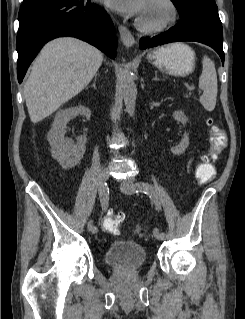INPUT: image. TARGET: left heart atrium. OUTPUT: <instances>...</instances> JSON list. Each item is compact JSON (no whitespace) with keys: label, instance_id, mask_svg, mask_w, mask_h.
Listing matches in <instances>:
<instances>
[{"label":"left heart atrium","instance_id":"1","mask_svg":"<svg viewBox=\"0 0 245 319\" xmlns=\"http://www.w3.org/2000/svg\"><path fill=\"white\" fill-rule=\"evenodd\" d=\"M111 9L120 13L139 17L148 0H103Z\"/></svg>","mask_w":245,"mask_h":319}]
</instances>
